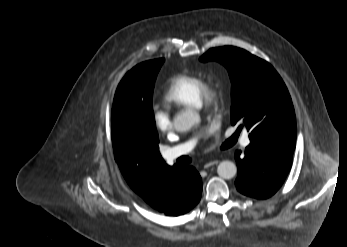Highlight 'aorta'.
Listing matches in <instances>:
<instances>
[{"mask_svg": "<svg viewBox=\"0 0 347 247\" xmlns=\"http://www.w3.org/2000/svg\"><path fill=\"white\" fill-rule=\"evenodd\" d=\"M199 122V114L194 111L188 110L178 114L174 118V128L178 132H186ZM217 173L221 178L231 179L237 173V167L235 163L225 160L218 165Z\"/></svg>", "mask_w": 347, "mask_h": 247, "instance_id": "aorta-1", "label": "aorta"}]
</instances>
